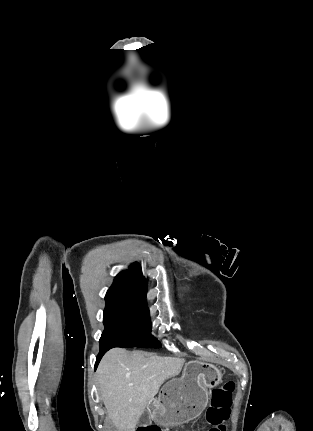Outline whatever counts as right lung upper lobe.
Here are the masks:
<instances>
[{
  "label": "right lung upper lobe",
  "instance_id": "1",
  "mask_svg": "<svg viewBox=\"0 0 313 431\" xmlns=\"http://www.w3.org/2000/svg\"><path fill=\"white\" fill-rule=\"evenodd\" d=\"M147 281L139 263H133L126 271L119 273L109 288L107 297H120L137 302H146Z\"/></svg>",
  "mask_w": 313,
  "mask_h": 431
}]
</instances>
